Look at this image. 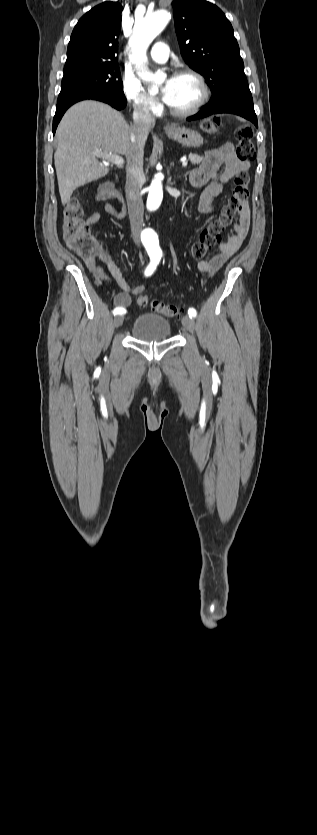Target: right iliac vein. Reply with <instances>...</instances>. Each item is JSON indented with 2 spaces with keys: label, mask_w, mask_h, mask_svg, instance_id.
I'll return each mask as SVG.
<instances>
[{
  "label": "right iliac vein",
  "mask_w": 317,
  "mask_h": 835,
  "mask_svg": "<svg viewBox=\"0 0 317 835\" xmlns=\"http://www.w3.org/2000/svg\"><path fill=\"white\" fill-rule=\"evenodd\" d=\"M123 320H124V318H123V316H122V315H117V316L114 318V326H115L116 328H119V327L122 325Z\"/></svg>",
  "instance_id": "right-iliac-vein-1"
}]
</instances>
